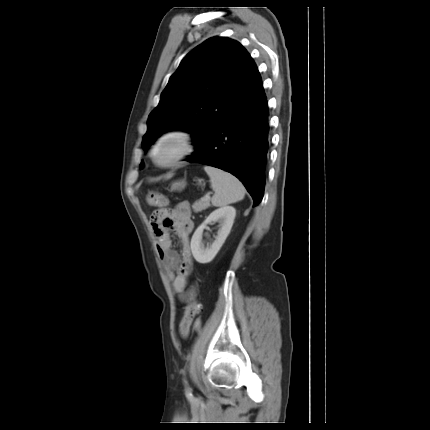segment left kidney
Listing matches in <instances>:
<instances>
[{"label": "left kidney", "instance_id": "left-kidney-1", "mask_svg": "<svg viewBox=\"0 0 430 430\" xmlns=\"http://www.w3.org/2000/svg\"><path fill=\"white\" fill-rule=\"evenodd\" d=\"M235 216L236 210L232 206L218 208L195 230L191 239V250L197 262L205 264L215 258L231 231ZM215 222L219 223L218 234L215 240L212 243L207 242V246L205 247V242L202 240L203 230L207 224Z\"/></svg>", "mask_w": 430, "mask_h": 430}]
</instances>
